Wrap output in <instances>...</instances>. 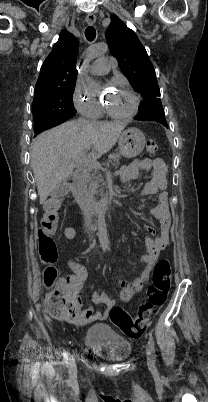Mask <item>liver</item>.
<instances>
[{
  "instance_id": "1",
  "label": "liver",
  "mask_w": 208,
  "mask_h": 402,
  "mask_svg": "<svg viewBox=\"0 0 208 402\" xmlns=\"http://www.w3.org/2000/svg\"><path fill=\"white\" fill-rule=\"evenodd\" d=\"M125 122H66L58 128L43 132L33 140L32 170L40 204H44L58 184L70 178L80 154L93 148L94 160L115 146Z\"/></svg>"
}]
</instances>
